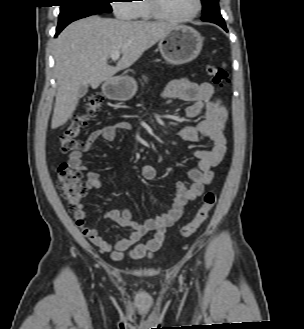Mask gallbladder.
<instances>
[{"label":"gallbladder","mask_w":304,"mask_h":329,"mask_svg":"<svg viewBox=\"0 0 304 329\" xmlns=\"http://www.w3.org/2000/svg\"><path fill=\"white\" fill-rule=\"evenodd\" d=\"M88 92V87L87 86H80L79 90H78V98H82L86 95V93Z\"/></svg>","instance_id":"obj_1"}]
</instances>
